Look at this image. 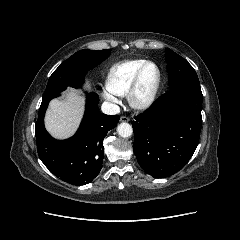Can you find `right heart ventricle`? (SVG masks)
I'll list each match as a JSON object with an SVG mask.
<instances>
[{
  "mask_svg": "<svg viewBox=\"0 0 240 240\" xmlns=\"http://www.w3.org/2000/svg\"><path fill=\"white\" fill-rule=\"evenodd\" d=\"M145 62L143 59H135L112 66L107 75L108 90L118 96L126 95L135 74Z\"/></svg>",
  "mask_w": 240,
  "mask_h": 240,
  "instance_id": "right-heart-ventricle-1",
  "label": "right heart ventricle"
}]
</instances>
